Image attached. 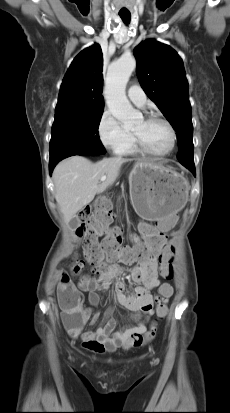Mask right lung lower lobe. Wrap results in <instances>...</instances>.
Returning a JSON list of instances; mask_svg holds the SVG:
<instances>
[{"label": "right lung lower lobe", "instance_id": "1", "mask_svg": "<svg viewBox=\"0 0 230 413\" xmlns=\"http://www.w3.org/2000/svg\"><path fill=\"white\" fill-rule=\"evenodd\" d=\"M102 153H90V152H82V153H77V154H73V155H81V156H95V155H101ZM104 154V153H103ZM73 155H70V156H73ZM69 157V156H68ZM62 159H64V158H62ZM62 159H58V160H55V161H50V163H49V171H50V175H51V173H52V171H53V169H54V167L56 166V164L60 161V160H62Z\"/></svg>", "mask_w": 230, "mask_h": 413}]
</instances>
